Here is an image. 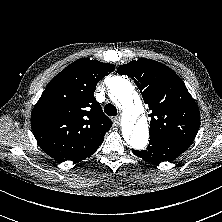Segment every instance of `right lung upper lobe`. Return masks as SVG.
Listing matches in <instances>:
<instances>
[{
    "instance_id": "right-lung-upper-lobe-1",
    "label": "right lung upper lobe",
    "mask_w": 222,
    "mask_h": 222,
    "mask_svg": "<svg viewBox=\"0 0 222 222\" xmlns=\"http://www.w3.org/2000/svg\"><path fill=\"white\" fill-rule=\"evenodd\" d=\"M114 65L81 58L47 85L31 113L42 150L59 162H79L94 154L112 121L94 98L97 83Z\"/></svg>"
}]
</instances>
